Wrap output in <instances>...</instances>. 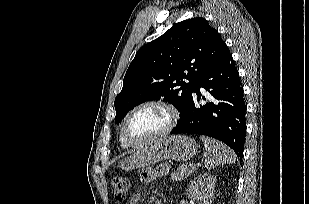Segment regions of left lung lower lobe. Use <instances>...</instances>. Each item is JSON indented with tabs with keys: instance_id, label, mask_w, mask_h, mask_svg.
Segmentation results:
<instances>
[{
	"instance_id": "1",
	"label": "left lung lower lobe",
	"mask_w": 309,
	"mask_h": 204,
	"mask_svg": "<svg viewBox=\"0 0 309 204\" xmlns=\"http://www.w3.org/2000/svg\"><path fill=\"white\" fill-rule=\"evenodd\" d=\"M200 87L213 102L199 105L204 99ZM234 60L226 48L220 59L200 77L187 106L171 134H200L218 139L230 146L242 159L246 133V104ZM196 94V95H195Z\"/></svg>"
}]
</instances>
